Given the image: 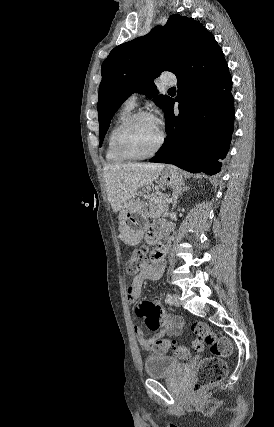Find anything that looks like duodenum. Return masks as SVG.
Returning a JSON list of instances; mask_svg holds the SVG:
<instances>
[{"label": "duodenum", "mask_w": 274, "mask_h": 427, "mask_svg": "<svg viewBox=\"0 0 274 427\" xmlns=\"http://www.w3.org/2000/svg\"><path fill=\"white\" fill-rule=\"evenodd\" d=\"M169 232V227L163 229L159 236V241L155 249L152 251L151 256L154 261H159L168 251V238L167 234Z\"/></svg>", "instance_id": "obj_1"}]
</instances>
